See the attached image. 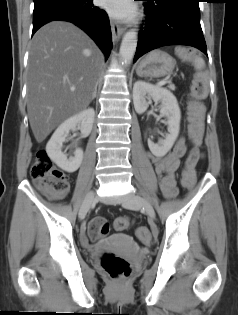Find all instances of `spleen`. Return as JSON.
Returning a JSON list of instances; mask_svg holds the SVG:
<instances>
[{
	"instance_id": "3e777b00",
	"label": "spleen",
	"mask_w": 238,
	"mask_h": 315,
	"mask_svg": "<svg viewBox=\"0 0 238 315\" xmlns=\"http://www.w3.org/2000/svg\"><path fill=\"white\" fill-rule=\"evenodd\" d=\"M195 68L200 70L205 66V62L201 57H196L194 60Z\"/></svg>"
}]
</instances>
